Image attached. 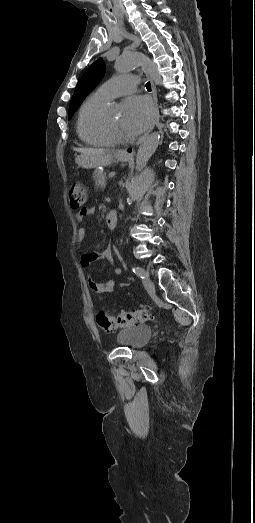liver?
Wrapping results in <instances>:
<instances>
[{"label": "liver", "instance_id": "1", "mask_svg": "<svg viewBox=\"0 0 255 523\" xmlns=\"http://www.w3.org/2000/svg\"><path fill=\"white\" fill-rule=\"evenodd\" d=\"M75 152H81L82 156H87V158H94L96 162L103 160L102 156H106L105 150L102 148H74Z\"/></svg>", "mask_w": 255, "mask_h": 523}]
</instances>
